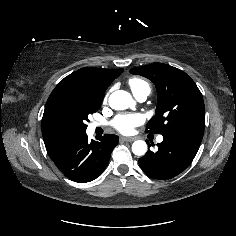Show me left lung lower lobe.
<instances>
[{"label":"left lung lower lobe","mask_w":236,"mask_h":236,"mask_svg":"<svg viewBox=\"0 0 236 236\" xmlns=\"http://www.w3.org/2000/svg\"><path fill=\"white\" fill-rule=\"evenodd\" d=\"M204 129H183L163 134V142L158 150L148 152L139 159V165L149 176L159 179H171L183 172L194 159Z\"/></svg>","instance_id":"1"}]
</instances>
